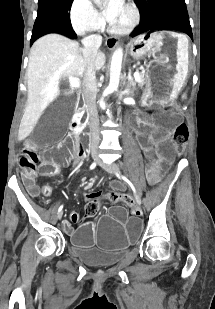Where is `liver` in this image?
Segmentation results:
<instances>
[{"instance_id":"6515ba94","label":"liver","mask_w":215,"mask_h":309,"mask_svg":"<svg viewBox=\"0 0 215 309\" xmlns=\"http://www.w3.org/2000/svg\"><path fill=\"white\" fill-rule=\"evenodd\" d=\"M83 50L77 40L63 34H45L35 40L29 54L28 104L19 126V140L30 134L43 110L58 96L62 76L82 78L85 68ZM94 62L95 70H100L106 62L104 52L99 50Z\"/></svg>"}]
</instances>
